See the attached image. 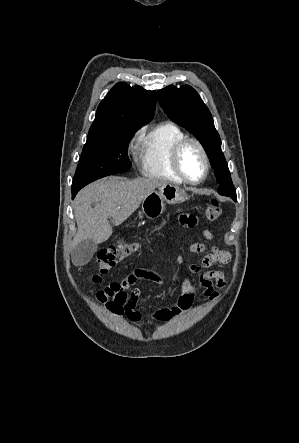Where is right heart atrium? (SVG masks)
<instances>
[{"label": "right heart atrium", "instance_id": "obj_1", "mask_svg": "<svg viewBox=\"0 0 299 443\" xmlns=\"http://www.w3.org/2000/svg\"><path fill=\"white\" fill-rule=\"evenodd\" d=\"M138 133H139V132H137V133L135 134V136L133 137V139H135V138H136V136L138 135Z\"/></svg>", "mask_w": 299, "mask_h": 443}]
</instances>
